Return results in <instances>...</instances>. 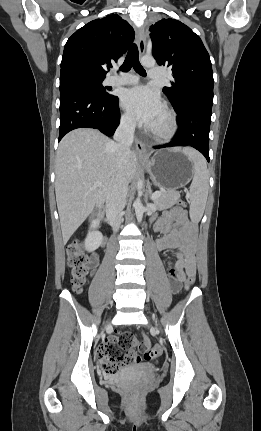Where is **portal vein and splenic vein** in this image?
Wrapping results in <instances>:
<instances>
[{"label": "portal vein and splenic vein", "mask_w": 261, "mask_h": 431, "mask_svg": "<svg viewBox=\"0 0 261 431\" xmlns=\"http://www.w3.org/2000/svg\"><path fill=\"white\" fill-rule=\"evenodd\" d=\"M100 186H101V183H100V182H95V183H94V187H100ZM160 195H161V191H156L155 193H153V195H152L151 199H152V200H155V199H157Z\"/></svg>", "instance_id": "18ae733b"}]
</instances>
